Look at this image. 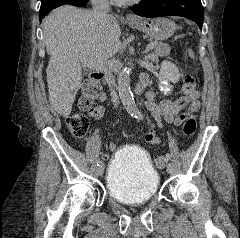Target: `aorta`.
<instances>
[{"instance_id": "obj_1", "label": "aorta", "mask_w": 240, "mask_h": 238, "mask_svg": "<svg viewBox=\"0 0 240 238\" xmlns=\"http://www.w3.org/2000/svg\"><path fill=\"white\" fill-rule=\"evenodd\" d=\"M119 97L130 115H136L139 110L136 106L131 88H130V68L124 67L118 76Z\"/></svg>"}]
</instances>
